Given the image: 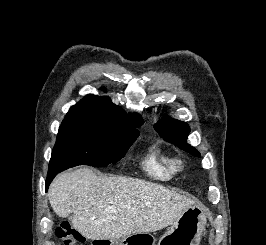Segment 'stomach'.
Instances as JSON below:
<instances>
[{
    "instance_id": "0dacf381",
    "label": "stomach",
    "mask_w": 266,
    "mask_h": 245,
    "mask_svg": "<svg viewBox=\"0 0 266 245\" xmlns=\"http://www.w3.org/2000/svg\"><path fill=\"white\" fill-rule=\"evenodd\" d=\"M206 225L203 211L199 207H190L160 237L158 245H200ZM155 241L151 233H132L117 241H109V245H155Z\"/></svg>"
}]
</instances>
